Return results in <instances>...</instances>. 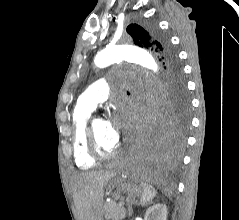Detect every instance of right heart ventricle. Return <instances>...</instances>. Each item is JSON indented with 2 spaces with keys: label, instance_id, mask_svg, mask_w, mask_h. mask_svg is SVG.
Here are the masks:
<instances>
[{
  "label": "right heart ventricle",
  "instance_id": "e07e8e85",
  "mask_svg": "<svg viewBox=\"0 0 239 220\" xmlns=\"http://www.w3.org/2000/svg\"><path fill=\"white\" fill-rule=\"evenodd\" d=\"M92 111V108L77 103L72 113L73 157L76 165L83 169L91 168L96 163L86 145V128Z\"/></svg>",
  "mask_w": 239,
  "mask_h": 220
}]
</instances>
